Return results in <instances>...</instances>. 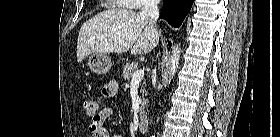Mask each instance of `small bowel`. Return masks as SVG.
Instances as JSON below:
<instances>
[{"mask_svg":"<svg viewBox=\"0 0 280 137\" xmlns=\"http://www.w3.org/2000/svg\"><path fill=\"white\" fill-rule=\"evenodd\" d=\"M118 92V83L115 80L108 82L103 88V94L107 97L114 96ZM112 115V108L106 106L102 108L98 114L92 117V122L89 125L90 134L96 133L98 137H109L105 127V122ZM120 137V136H116Z\"/></svg>","mask_w":280,"mask_h":137,"instance_id":"obj_1","label":"small bowel"}]
</instances>
